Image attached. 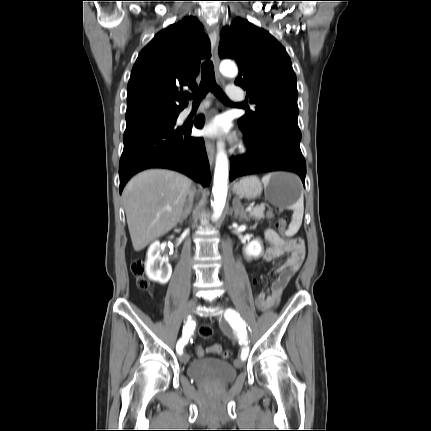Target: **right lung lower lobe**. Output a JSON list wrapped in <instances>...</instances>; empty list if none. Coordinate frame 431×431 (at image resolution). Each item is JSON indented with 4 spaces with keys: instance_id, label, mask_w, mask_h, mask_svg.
Returning <instances> with one entry per match:
<instances>
[{
    "instance_id": "1",
    "label": "right lung lower lobe",
    "mask_w": 431,
    "mask_h": 431,
    "mask_svg": "<svg viewBox=\"0 0 431 431\" xmlns=\"http://www.w3.org/2000/svg\"><path fill=\"white\" fill-rule=\"evenodd\" d=\"M174 117L146 118L127 124L120 159V193L136 173L149 168H165L186 174L207 186L210 171L202 138L188 136L191 127L202 128L204 117L188 125L175 126Z\"/></svg>"
}]
</instances>
